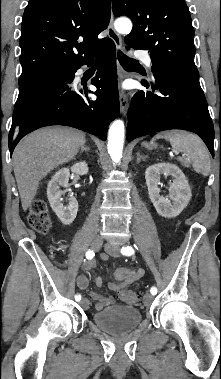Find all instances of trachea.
<instances>
[{"label": "trachea", "instance_id": "obj_1", "mask_svg": "<svg viewBox=\"0 0 221 379\" xmlns=\"http://www.w3.org/2000/svg\"><path fill=\"white\" fill-rule=\"evenodd\" d=\"M118 59L122 67L125 69L139 64L137 60L127 57L121 51H118Z\"/></svg>", "mask_w": 221, "mask_h": 379}]
</instances>
